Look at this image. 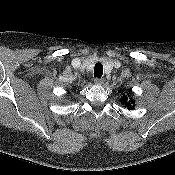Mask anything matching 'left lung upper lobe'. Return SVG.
I'll use <instances>...</instances> for the list:
<instances>
[{"mask_svg":"<svg viewBox=\"0 0 175 175\" xmlns=\"http://www.w3.org/2000/svg\"><path fill=\"white\" fill-rule=\"evenodd\" d=\"M122 103L123 105H125V107H128L129 109H133L132 104L134 103L133 101H131V99H128L127 96L122 98Z\"/></svg>","mask_w":175,"mask_h":175,"instance_id":"5c2ea615","label":"left lung upper lobe"}]
</instances>
